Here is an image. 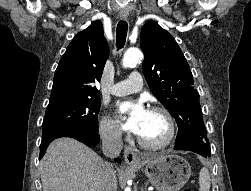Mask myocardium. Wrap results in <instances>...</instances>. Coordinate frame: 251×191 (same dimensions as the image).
Masks as SVG:
<instances>
[{"label": "myocardium", "mask_w": 251, "mask_h": 191, "mask_svg": "<svg viewBox=\"0 0 251 191\" xmlns=\"http://www.w3.org/2000/svg\"><path fill=\"white\" fill-rule=\"evenodd\" d=\"M149 111L154 112V113H160L161 115L164 116L168 125V135L163 142L157 143V144L146 141L139 134L137 135V141L142 147L149 150H160V149L167 148L173 143L176 136V125H175L174 118L172 114L163 107L153 106L149 109Z\"/></svg>", "instance_id": "1"}]
</instances>
